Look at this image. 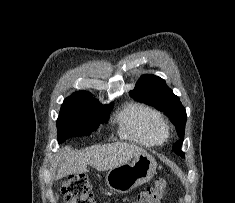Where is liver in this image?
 <instances>
[{"mask_svg": "<svg viewBox=\"0 0 235 203\" xmlns=\"http://www.w3.org/2000/svg\"><path fill=\"white\" fill-rule=\"evenodd\" d=\"M140 154H147V152L141 147L123 142L95 146L80 152H73L66 146L57 156L59 164L56 178L85 173L88 171L87 165L98 171L111 170Z\"/></svg>", "mask_w": 235, "mask_h": 203, "instance_id": "obj_1", "label": "liver"}]
</instances>
